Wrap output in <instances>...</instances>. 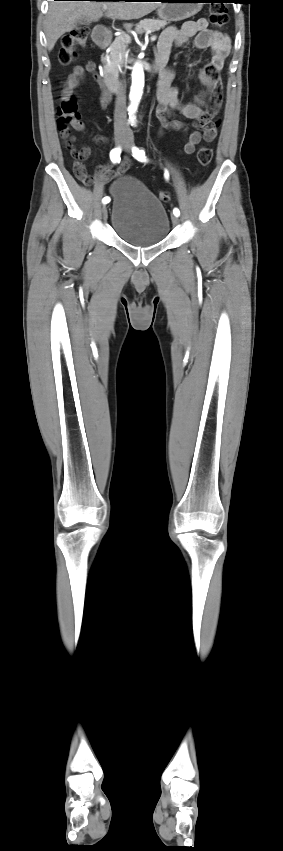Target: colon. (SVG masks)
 <instances>
[{
  "mask_svg": "<svg viewBox=\"0 0 283 851\" xmlns=\"http://www.w3.org/2000/svg\"><path fill=\"white\" fill-rule=\"evenodd\" d=\"M210 21L215 28L221 29L228 22V10L222 4H214L210 10ZM88 40V29L86 27H78L71 32L65 34L61 41V48L58 59L62 65H70L77 58V50L83 48ZM58 126L61 131L68 129L69 125H75L81 122V117L78 112V104L74 96L64 99L57 109ZM218 123L208 122L204 128L207 136L206 141H212L217 133ZM213 157V151L208 146H202L197 152V161L201 166L210 164ZM76 177L84 183H90L92 178L87 174L86 169L81 166H74ZM159 197L162 201L167 202L170 199V194L167 191H160Z\"/></svg>",
  "mask_w": 283,
  "mask_h": 851,
  "instance_id": "1",
  "label": "colon"
}]
</instances>
